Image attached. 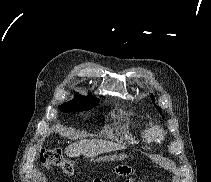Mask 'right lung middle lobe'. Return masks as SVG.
<instances>
[{"mask_svg":"<svg viewBox=\"0 0 211 182\" xmlns=\"http://www.w3.org/2000/svg\"><path fill=\"white\" fill-rule=\"evenodd\" d=\"M99 104V99L88 94L87 97L75 92L74 99L64 102L59 106V109L64 113L71 111H87Z\"/></svg>","mask_w":211,"mask_h":182,"instance_id":"right-lung-middle-lobe-1","label":"right lung middle lobe"}]
</instances>
